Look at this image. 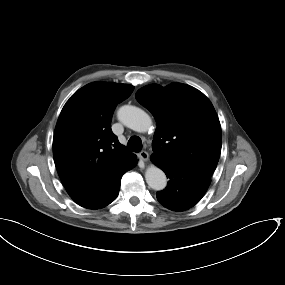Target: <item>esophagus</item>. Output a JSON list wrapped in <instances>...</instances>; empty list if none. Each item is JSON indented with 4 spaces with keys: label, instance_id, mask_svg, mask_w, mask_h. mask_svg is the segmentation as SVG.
<instances>
[{
    "label": "esophagus",
    "instance_id": "esophagus-1",
    "mask_svg": "<svg viewBox=\"0 0 285 285\" xmlns=\"http://www.w3.org/2000/svg\"><path fill=\"white\" fill-rule=\"evenodd\" d=\"M138 157L144 162H147L149 159V154L146 151H141L138 153Z\"/></svg>",
    "mask_w": 285,
    "mask_h": 285
}]
</instances>
